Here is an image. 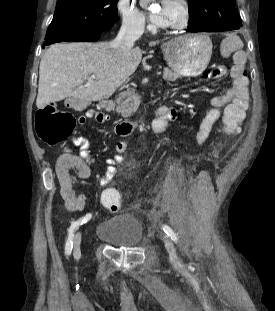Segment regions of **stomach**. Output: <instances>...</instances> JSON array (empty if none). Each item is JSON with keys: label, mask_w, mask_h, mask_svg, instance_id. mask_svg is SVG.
<instances>
[{"label": "stomach", "mask_w": 275, "mask_h": 311, "mask_svg": "<svg viewBox=\"0 0 275 311\" xmlns=\"http://www.w3.org/2000/svg\"><path fill=\"white\" fill-rule=\"evenodd\" d=\"M168 66L177 74L187 77L200 75L212 55V42L203 34H190L171 39L162 45Z\"/></svg>", "instance_id": "0dacf381"}]
</instances>
